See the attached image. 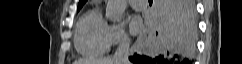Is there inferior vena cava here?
Wrapping results in <instances>:
<instances>
[{"label":"inferior vena cava","instance_id":"1","mask_svg":"<svg viewBox=\"0 0 242 64\" xmlns=\"http://www.w3.org/2000/svg\"><path fill=\"white\" fill-rule=\"evenodd\" d=\"M129 47H130V40L129 38L125 35L118 48L116 49L114 55H113V60L115 61V64H130L129 63Z\"/></svg>","mask_w":242,"mask_h":64}]
</instances>
